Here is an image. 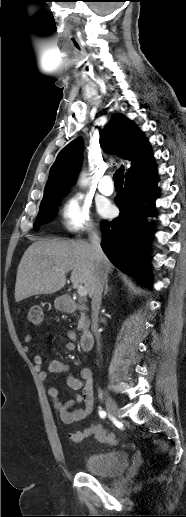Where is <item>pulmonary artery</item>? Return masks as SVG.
I'll list each match as a JSON object with an SVG mask.
<instances>
[{
	"mask_svg": "<svg viewBox=\"0 0 186 517\" xmlns=\"http://www.w3.org/2000/svg\"><path fill=\"white\" fill-rule=\"evenodd\" d=\"M98 189L102 194H104L106 196H109L113 193L114 187H113L112 178L110 175H105L101 178L99 185H98Z\"/></svg>",
	"mask_w": 186,
	"mask_h": 517,
	"instance_id": "e3ab8cb5",
	"label": "pulmonary artery"
}]
</instances>
